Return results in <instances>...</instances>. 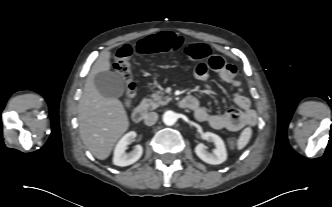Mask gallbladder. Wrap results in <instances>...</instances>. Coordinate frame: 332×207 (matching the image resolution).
Wrapping results in <instances>:
<instances>
[{
    "label": "gallbladder",
    "instance_id": "gallbladder-1",
    "mask_svg": "<svg viewBox=\"0 0 332 207\" xmlns=\"http://www.w3.org/2000/svg\"><path fill=\"white\" fill-rule=\"evenodd\" d=\"M94 84L99 93L107 98H119L124 93L122 79L111 71H103L96 74Z\"/></svg>",
    "mask_w": 332,
    "mask_h": 207
}]
</instances>
